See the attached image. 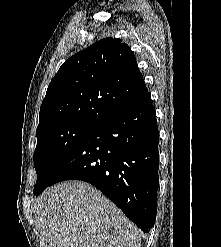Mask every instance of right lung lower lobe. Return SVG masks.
I'll return each mask as SVG.
<instances>
[{"instance_id":"1","label":"right lung lower lobe","mask_w":221,"mask_h":247,"mask_svg":"<svg viewBox=\"0 0 221 247\" xmlns=\"http://www.w3.org/2000/svg\"><path fill=\"white\" fill-rule=\"evenodd\" d=\"M158 142L156 112L147 91L101 120L49 186L72 179L88 182L148 233L156 219Z\"/></svg>"}]
</instances>
